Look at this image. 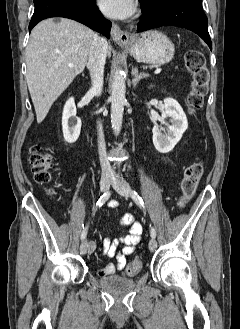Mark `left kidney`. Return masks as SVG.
I'll use <instances>...</instances> for the list:
<instances>
[{
  "instance_id": "obj_1",
  "label": "left kidney",
  "mask_w": 240,
  "mask_h": 329,
  "mask_svg": "<svg viewBox=\"0 0 240 329\" xmlns=\"http://www.w3.org/2000/svg\"><path fill=\"white\" fill-rule=\"evenodd\" d=\"M167 118H169L170 124L165 123ZM164 124L166 126H163ZM187 128L188 121L180 104L172 98L164 99L161 125H155L152 129V139L156 150L160 153H168L173 150Z\"/></svg>"
}]
</instances>
